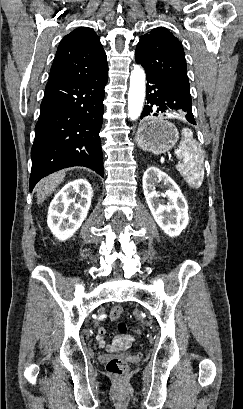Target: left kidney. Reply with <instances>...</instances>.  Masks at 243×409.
<instances>
[{"mask_svg":"<svg viewBox=\"0 0 243 409\" xmlns=\"http://www.w3.org/2000/svg\"><path fill=\"white\" fill-rule=\"evenodd\" d=\"M160 182L167 187L163 194L168 200L164 205L156 185ZM147 205L159 227L169 236L180 235L189 222L187 202L177 184L166 173L156 167H149L142 179Z\"/></svg>","mask_w":243,"mask_h":409,"instance_id":"obj_1","label":"left kidney"}]
</instances>
